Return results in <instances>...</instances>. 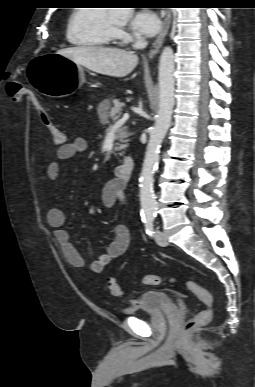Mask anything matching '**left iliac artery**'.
I'll use <instances>...</instances> for the list:
<instances>
[{"label": "left iliac artery", "instance_id": "obj_1", "mask_svg": "<svg viewBox=\"0 0 255 387\" xmlns=\"http://www.w3.org/2000/svg\"><path fill=\"white\" fill-rule=\"evenodd\" d=\"M144 222L146 233L152 237L154 234L153 228H154V218L153 217H146L142 219Z\"/></svg>", "mask_w": 255, "mask_h": 387}]
</instances>
